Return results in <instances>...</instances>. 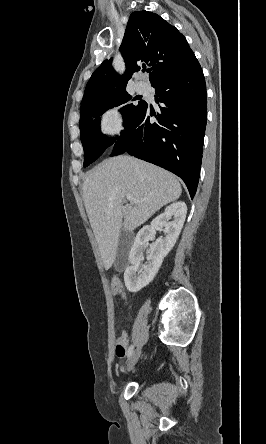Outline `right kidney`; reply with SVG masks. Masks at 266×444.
<instances>
[{
	"mask_svg": "<svg viewBox=\"0 0 266 444\" xmlns=\"http://www.w3.org/2000/svg\"><path fill=\"white\" fill-rule=\"evenodd\" d=\"M187 214L184 202H176L166 207L165 211L156 217L149 226H144L136 235L134 244L129 253L128 266L124 272V282L128 291L136 293L146 287L157 274L163 259L171 251L181 232ZM162 229L165 238H158L152 243L147 263L138 272L143 259V251L149 240L155 238L156 230Z\"/></svg>",
	"mask_w": 266,
	"mask_h": 444,
	"instance_id": "obj_1",
	"label": "right kidney"
}]
</instances>
